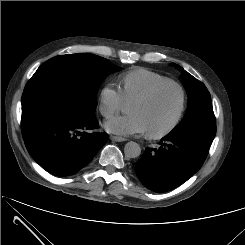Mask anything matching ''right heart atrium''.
I'll use <instances>...</instances> for the list:
<instances>
[{
	"label": "right heart atrium",
	"instance_id": "right-heart-atrium-1",
	"mask_svg": "<svg viewBox=\"0 0 245 245\" xmlns=\"http://www.w3.org/2000/svg\"><path fill=\"white\" fill-rule=\"evenodd\" d=\"M124 98L120 90L110 84L104 85L99 92V111L104 117H110L124 106Z\"/></svg>",
	"mask_w": 245,
	"mask_h": 245
}]
</instances>
